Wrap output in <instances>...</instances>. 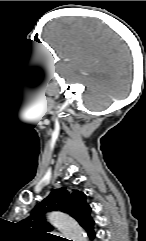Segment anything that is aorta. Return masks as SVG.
<instances>
[{"instance_id":"aorta-1","label":"aorta","mask_w":146,"mask_h":241,"mask_svg":"<svg viewBox=\"0 0 146 241\" xmlns=\"http://www.w3.org/2000/svg\"><path fill=\"white\" fill-rule=\"evenodd\" d=\"M49 221L58 228L67 239L72 241H87V237L82 228L67 214L53 211L49 214Z\"/></svg>"}]
</instances>
